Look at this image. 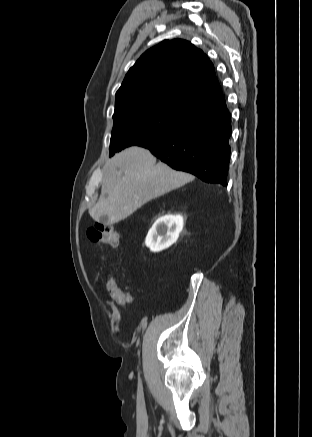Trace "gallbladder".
Wrapping results in <instances>:
<instances>
[{
  "label": "gallbladder",
  "mask_w": 312,
  "mask_h": 437,
  "mask_svg": "<svg viewBox=\"0 0 312 437\" xmlns=\"http://www.w3.org/2000/svg\"><path fill=\"white\" fill-rule=\"evenodd\" d=\"M100 222H104V220H103V219H101V220H100Z\"/></svg>",
  "instance_id": "gallbladder-1"
}]
</instances>
